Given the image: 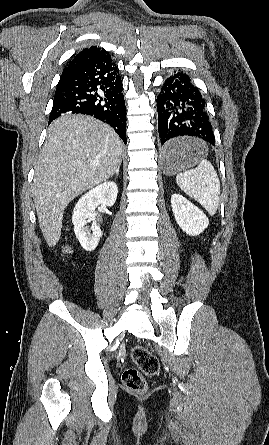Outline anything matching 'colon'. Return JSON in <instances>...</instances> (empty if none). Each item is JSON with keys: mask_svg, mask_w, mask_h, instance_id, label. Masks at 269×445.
<instances>
[{"mask_svg": "<svg viewBox=\"0 0 269 445\" xmlns=\"http://www.w3.org/2000/svg\"><path fill=\"white\" fill-rule=\"evenodd\" d=\"M130 356L136 368H128L122 374V381L130 390L143 393L147 390L145 376H154L159 372L158 358L146 347L134 346Z\"/></svg>", "mask_w": 269, "mask_h": 445, "instance_id": "1", "label": "colon"}]
</instances>
